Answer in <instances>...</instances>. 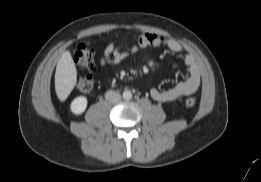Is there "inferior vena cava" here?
Wrapping results in <instances>:
<instances>
[{
	"label": "inferior vena cava",
	"instance_id": "602c4592",
	"mask_svg": "<svg viewBox=\"0 0 261 182\" xmlns=\"http://www.w3.org/2000/svg\"><path fill=\"white\" fill-rule=\"evenodd\" d=\"M105 99L110 103H117L121 100V95L116 91L109 90L105 94Z\"/></svg>",
	"mask_w": 261,
	"mask_h": 182
}]
</instances>
